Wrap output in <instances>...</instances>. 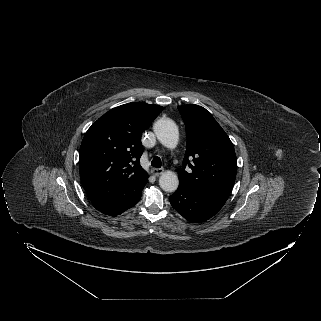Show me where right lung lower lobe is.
Returning a JSON list of instances; mask_svg holds the SVG:
<instances>
[{"label": "right lung lower lobe", "instance_id": "98d812e1", "mask_svg": "<svg viewBox=\"0 0 321 321\" xmlns=\"http://www.w3.org/2000/svg\"><path fill=\"white\" fill-rule=\"evenodd\" d=\"M141 198V195L136 197L135 199H133L132 201H128L124 204H112L109 206H94L97 210H99L100 212H102L103 214L106 215H119L122 212H124L125 210L133 207Z\"/></svg>", "mask_w": 321, "mask_h": 321}]
</instances>
